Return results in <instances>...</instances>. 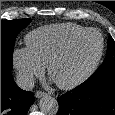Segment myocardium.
I'll return each mask as SVG.
<instances>
[{
  "label": "myocardium",
  "instance_id": "f54148a6",
  "mask_svg": "<svg viewBox=\"0 0 115 115\" xmlns=\"http://www.w3.org/2000/svg\"><path fill=\"white\" fill-rule=\"evenodd\" d=\"M88 33H96L100 38V49L98 52L97 57L92 62V64L81 74L76 76L73 79H70L68 81H57L54 78V70L58 64H60L70 53L75 43L85 36ZM105 49V42L103 35L100 31L94 28H86L85 30L73 35L61 48L60 50L49 60L47 64V72L49 77L52 79V81L61 89L69 90L73 89L82 83H84L98 68L100 61L103 57Z\"/></svg>",
  "mask_w": 115,
  "mask_h": 115
}]
</instances>
